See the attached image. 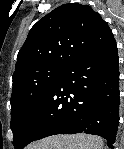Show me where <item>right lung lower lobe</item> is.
Segmentation results:
<instances>
[{
  "instance_id": "obj_1",
  "label": "right lung lower lobe",
  "mask_w": 124,
  "mask_h": 149,
  "mask_svg": "<svg viewBox=\"0 0 124 149\" xmlns=\"http://www.w3.org/2000/svg\"><path fill=\"white\" fill-rule=\"evenodd\" d=\"M119 104L118 52L112 39L62 69L16 148L51 135L76 133L101 136L114 148Z\"/></svg>"
}]
</instances>
